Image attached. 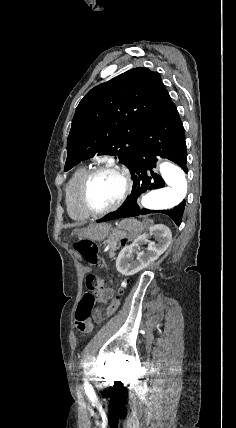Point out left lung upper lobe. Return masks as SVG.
Returning a JSON list of instances; mask_svg holds the SVG:
<instances>
[{
  "label": "left lung upper lobe",
  "instance_id": "obj_1",
  "mask_svg": "<svg viewBox=\"0 0 236 428\" xmlns=\"http://www.w3.org/2000/svg\"><path fill=\"white\" fill-rule=\"evenodd\" d=\"M172 103L160 74L144 67L94 87L76 108L64 171L96 153L129 166L145 126Z\"/></svg>",
  "mask_w": 236,
  "mask_h": 428
}]
</instances>
